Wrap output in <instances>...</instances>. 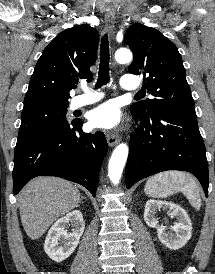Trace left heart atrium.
<instances>
[{"label": "left heart atrium", "mask_w": 215, "mask_h": 274, "mask_svg": "<svg viewBox=\"0 0 215 274\" xmlns=\"http://www.w3.org/2000/svg\"><path fill=\"white\" fill-rule=\"evenodd\" d=\"M90 125L94 128L113 130L121 122V112L113 102H106L90 112Z\"/></svg>", "instance_id": "left-heart-atrium-1"}]
</instances>
